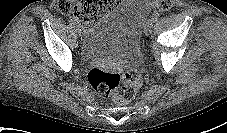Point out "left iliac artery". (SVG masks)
Listing matches in <instances>:
<instances>
[{
    "instance_id": "1",
    "label": "left iliac artery",
    "mask_w": 227,
    "mask_h": 133,
    "mask_svg": "<svg viewBox=\"0 0 227 133\" xmlns=\"http://www.w3.org/2000/svg\"><path fill=\"white\" fill-rule=\"evenodd\" d=\"M158 18H159V13H154V14H152V16H151L150 21H151L152 23H155V22L158 20Z\"/></svg>"
}]
</instances>
